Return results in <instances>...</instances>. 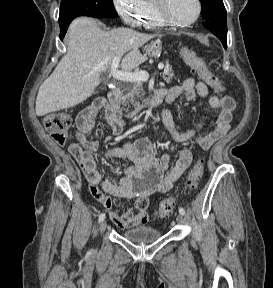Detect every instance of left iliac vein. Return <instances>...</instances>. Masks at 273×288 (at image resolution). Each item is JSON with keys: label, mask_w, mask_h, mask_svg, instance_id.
<instances>
[{"label": "left iliac vein", "mask_w": 273, "mask_h": 288, "mask_svg": "<svg viewBox=\"0 0 273 288\" xmlns=\"http://www.w3.org/2000/svg\"><path fill=\"white\" fill-rule=\"evenodd\" d=\"M176 222L178 224H181L183 222V215L182 214H179L176 216Z\"/></svg>", "instance_id": "1"}]
</instances>
